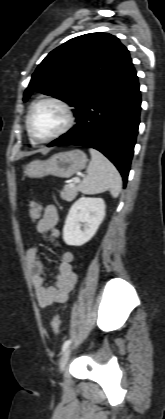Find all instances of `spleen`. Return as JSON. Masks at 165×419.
<instances>
[{
	"label": "spleen",
	"mask_w": 165,
	"mask_h": 419,
	"mask_svg": "<svg viewBox=\"0 0 165 419\" xmlns=\"http://www.w3.org/2000/svg\"><path fill=\"white\" fill-rule=\"evenodd\" d=\"M92 160L87 169V176L79 188L84 194H99L107 190L113 198L118 197L122 189V179L115 166L99 151L90 148Z\"/></svg>",
	"instance_id": "3e777b00"
}]
</instances>
